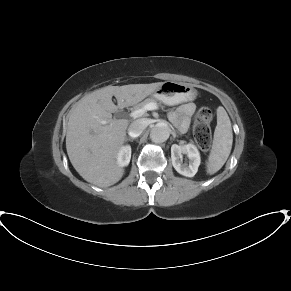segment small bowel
<instances>
[{
	"label": "small bowel",
	"mask_w": 291,
	"mask_h": 291,
	"mask_svg": "<svg viewBox=\"0 0 291 291\" xmlns=\"http://www.w3.org/2000/svg\"><path fill=\"white\" fill-rule=\"evenodd\" d=\"M195 109V105L192 103L183 104L177 110L171 111L169 118L180 131H185L188 128L190 118L194 114Z\"/></svg>",
	"instance_id": "obj_1"
}]
</instances>
